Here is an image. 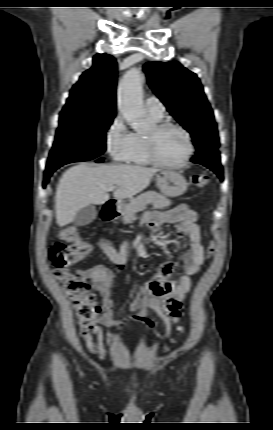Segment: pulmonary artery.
Returning a JSON list of instances; mask_svg holds the SVG:
<instances>
[{"instance_id": "pulmonary-artery-1", "label": "pulmonary artery", "mask_w": 273, "mask_h": 430, "mask_svg": "<svg viewBox=\"0 0 273 430\" xmlns=\"http://www.w3.org/2000/svg\"><path fill=\"white\" fill-rule=\"evenodd\" d=\"M146 109L149 113L158 117H163L165 108L163 103L155 96H150L146 99Z\"/></svg>"}]
</instances>
